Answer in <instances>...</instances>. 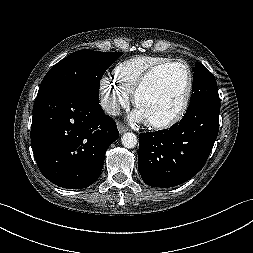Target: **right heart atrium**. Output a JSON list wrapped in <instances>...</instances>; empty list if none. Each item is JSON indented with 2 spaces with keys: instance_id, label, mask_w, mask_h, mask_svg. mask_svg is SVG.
Listing matches in <instances>:
<instances>
[{
  "instance_id": "obj_1",
  "label": "right heart atrium",
  "mask_w": 253,
  "mask_h": 253,
  "mask_svg": "<svg viewBox=\"0 0 253 253\" xmlns=\"http://www.w3.org/2000/svg\"><path fill=\"white\" fill-rule=\"evenodd\" d=\"M99 89L101 105L110 115H116L130 101V94L110 77L104 76L100 80Z\"/></svg>"
}]
</instances>
